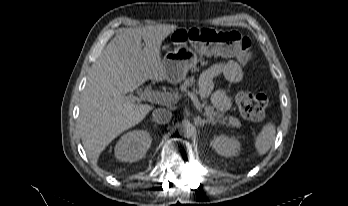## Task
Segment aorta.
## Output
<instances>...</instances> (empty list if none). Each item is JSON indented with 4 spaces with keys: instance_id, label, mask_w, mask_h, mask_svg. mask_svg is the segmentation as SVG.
Segmentation results:
<instances>
[{
    "instance_id": "762f6f07",
    "label": "aorta",
    "mask_w": 348,
    "mask_h": 206,
    "mask_svg": "<svg viewBox=\"0 0 348 206\" xmlns=\"http://www.w3.org/2000/svg\"><path fill=\"white\" fill-rule=\"evenodd\" d=\"M179 133L186 138H190L194 133V126L189 121L184 120L179 125Z\"/></svg>"
}]
</instances>
